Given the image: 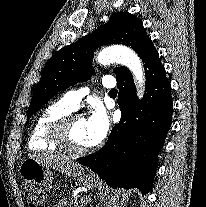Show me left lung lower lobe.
Returning <instances> with one entry per match:
<instances>
[{
  "label": "left lung lower lobe",
  "mask_w": 206,
  "mask_h": 207,
  "mask_svg": "<svg viewBox=\"0 0 206 207\" xmlns=\"http://www.w3.org/2000/svg\"><path fill=\"white\" fill-rule=\"evenodd\" d=\"M142 61L146 74L143 100L139 102L136 97L130 72L117 79L121 120L104 147L79 163L113 187H136L145 195L152 187L158 155L171 126L173 102L171 85L153 45L143 54Z\"/></svg>",
  "instance_id": "0a47b994"
}]
</instances>
